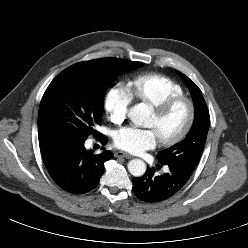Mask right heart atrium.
I'll return each instance as SVG.
<instances>
[{
	"label": "right heart atrium",
	"instance_id": "obj_1",
	"mask_svg": "<svg viewBox=\"0 0 248 248\" xmlns=\"http://www.w3.org/2000/svg\"><path fill=\"white\" fill-rule=\"evenodd\" d=\"M131 103L132 97L129 91L120 84L110 87L104 97L105 110L115 124L124 121Z\"/></svg>",
	"mask_w": 248,
	"mask_h": 248
}]
</instances>
